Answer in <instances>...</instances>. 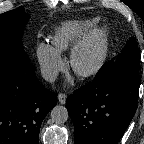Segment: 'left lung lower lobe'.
<instances>
[{"instance_id": "0a47b994", "label": "left lung lower lobe", "mask_w": 144, "mask_h": 144, "mask_svg": "<svg viewBox=\"0 0 144 144\" xmlns=\"http://www.w3.org/2000/svg\"><path fill=\"white\" fill-rule=\"evenodd\" d=\"M140 75L95 79L68 96L67 110L74 124L75 144H117L137 107Z\"/></svg>"}]
</instances>
